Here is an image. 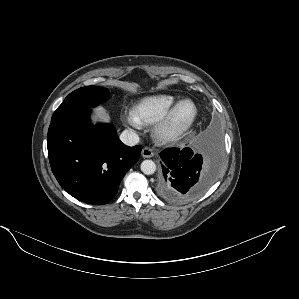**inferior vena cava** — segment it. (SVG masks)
Listing matches in <instances>:
<instances>
[{
	"label": "inferior vena cava",
	"mask_w": 299,
	"mask_h": 299,
	"mask_svg": "<svg viewBox=\"0 0 299 299\" xmlns=\"http://www.w3.org/2000/svg\"><path fill=\"white\" fill-rule=\"evenodd\" d=\"M120 140L127 146H134L139 142V136L134 130L126 129L121 133Z\"/></svg>",
	"instance_id": "602c4592"
}]
</instances>
